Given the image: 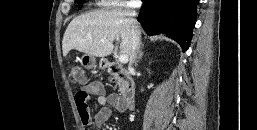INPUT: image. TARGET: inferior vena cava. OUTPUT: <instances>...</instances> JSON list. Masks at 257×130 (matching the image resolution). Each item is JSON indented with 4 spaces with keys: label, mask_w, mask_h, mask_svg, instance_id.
Returning a JSON list of instances; mask_svg holds the SVG:
<instances>
[{
    "label": "inferior vena cava",
    "mask_w": 257,
    "mask_h": 130,
    "mask_svg": "<svg viewBox=\"0 0 257 130\" xmlns=\"http://www.w3.org/2000/svg\"><path fill=\"white\" fill-rule=\"evenodd\" d=\"M127 14L131 17H134L136 15L133 11H128ZM132 26H131V55H130V63L129 67L131 68V65L134 63V59L136 57L137 50L140 46V29L137 24V21L135 19L131 20Z\"/></svg>",
    "instance_id": "obj_1"
}]
</instances>
